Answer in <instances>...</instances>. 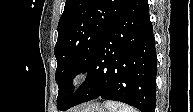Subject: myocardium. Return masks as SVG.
<instances>
[{"label": "myocardium", "mask_w": 193, "mask_h": 112, "mask_svg": "<svg viewBox=\"0 0 193 112\" xmlns=\"http://www.w3.org/2000/svg\"><path fill=\"white\" fill-rule=\"evenodd\" d=\"M87 73L84 70L76 71L70 79V87L72 90L79 89L86 81Z\"/></svg>", "instance_id": "1"}]
</instances>
